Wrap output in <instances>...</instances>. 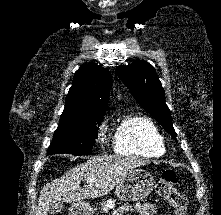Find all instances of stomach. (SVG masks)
<instances>
[{"label": "stomach", "instance_id": "stomach-1", "mask_svg": "<svg viewBox=\"0 0 221 215\" xmlns=\"http://www.w3.org/2000/svg\"><path fill=\"white\" fill-rule=\"evenodd\" d=\"M152 175L143 169L132 170L116 187L115 194L122 201H138L146 198L153 190ZM71 215H93V208L84 202L74 203Z\"/></svg>", "mask_w": 221, "mask_h": 215}]
</instances>
